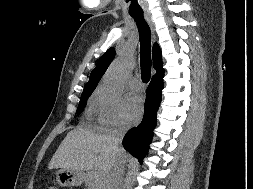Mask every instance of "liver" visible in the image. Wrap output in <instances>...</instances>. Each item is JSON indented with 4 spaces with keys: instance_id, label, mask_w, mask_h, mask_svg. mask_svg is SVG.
I'll return each instance as SVG.
<instances>
[{
    "instance_id": "obj_1",
    "label": "liver",
    "mask_w": 253,
    "mask_h": 189,
    "mask_svg": "<svg viewBox=\"0 0 253 189\" xmlns=\"http://www.w3.org/2000/svg\"><path fill=\"white\" fill-rule=\"evenodd\" d=\"M127 158L123 148L121 152L114 149L111 136L79 127L70 131L61 142L49 163V169H71L88 173L95 169L101 173L104 181L113 165L119 160L126 162Z\"/></svg>"
}]
</instances>
